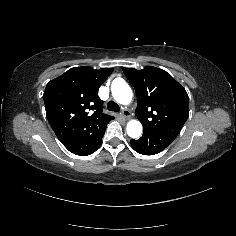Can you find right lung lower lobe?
I'll use <instances>...</instances> for the list:
<instances>
[{"label":"right lung lower lobe","mask_w":236,"mask_h":236,"mask_svg":"<svg viewBox=\"0 0 236 236\" xmlns=\"http://www.w3.org/2000/svg\"><path fill=\"white\" fill-rule=\"evenodd\" d=\"M106 126L66 146V148L76 155L92 154L100 147Z\"/></svg>","instance_id":"right-lung-lower-lobe-1"}]
</instances>
